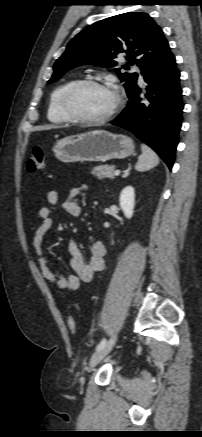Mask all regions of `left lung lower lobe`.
<instances>
[{
    "mask_svg": "<svg viewBox=\"0 0 202 437\" xmlns=\"http://www.w3.org/2000/svg\"><path fill=\"white\" fill-rule=\"evenodd\" d=\"M142 75L147 83L145 98L140 97L141 89L136 85L129 95L127 107L113 125L134 133L171 169L179 142L184 103L180 72L169 45Z\"/></svg>",
    "mask_w": 202,
    "mask_h": 437,
    "instance_id": "left-lung-lower-lobe-1",
    "label": "left lung lower lobe"
}]
</instances>
